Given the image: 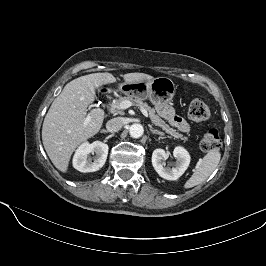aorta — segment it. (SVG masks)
Instances as JSON below:
<instances>
[{"instance_id":"obj_1","label":"aorta","mask_w":266,"mask_h":266,"mask_svg":"<svg viewBox=\"0 0 266 266\" xmlns=\"http://www.w3.org/2000/svg\"><path fill=\"white\" fill-rule=\"evenodd\" d=\"M129 133L132 138H140L144 133V128L141 124H132Z\"/></svg>"}]
</instances>
